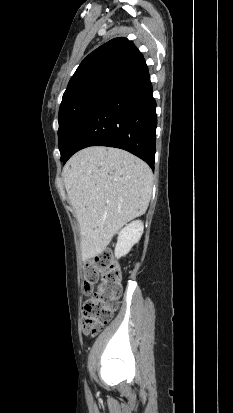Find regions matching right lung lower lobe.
<instances>
[{
  "label": "right lung lower lobe",
  "instance_id": "98d812e1",
  "mask_svg": "<svg viewBox=\"0 0 233 413\" xmlns=\"http://www.w3.org/2000/svg\"><path fill=\"white\" fill-rule=\"evenodd\" d=\"M156 102L145 60L116 78L78 132L63 164L88 146L121 148L154 170Z\"/></svg>",
  "mask_w": 233,
  "mask_h": 413
}]
</instances>
